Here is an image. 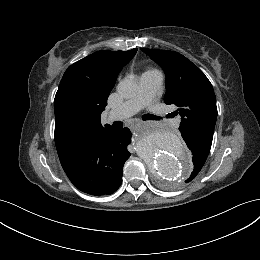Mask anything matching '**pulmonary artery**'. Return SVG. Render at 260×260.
<instances>
[{"label":"pulmonary artery","instance_id":"1","mask_svg":"<svg viewBox=\"0 0 260 260\" xmlns=\"http://www.w3.org/2000/svg\"><path fill=\"white\" fill-rule=\"evenodd\" d=\"M163 82V76L159 71H151L142 74L140 79V91L135 98L124 102L120 107L112 110L109 120H124L145 106H150L153 98L159 93ZM181 118H177L175 125H179Z\"/></svg>","mask_w":260,"mask_h":260}]
</instances>
